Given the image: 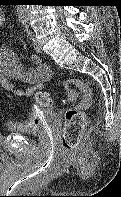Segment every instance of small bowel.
<instances>
[{"instance_id": "obj_1", "label": "small bowel", "mask_w": 121, "mask_h": 197, "mask_svg": "<svg viewBox=\"0 0 121 197\" xmlns=\"http://www.w3.org/2000/svg\"><path fill=\"white\" fill-rule=\"evenodd\" d=\"M5 21V15L0 10V26ZM33 67L25 70L21 57L10 47L0 48V85L7 91L15 90L13 80L27 84L26 87L18 90L21 96L29 97L44 87L51 77V71L42 63L40 57L33 55L30 58Z\"/></svg>"}]
</instances>
